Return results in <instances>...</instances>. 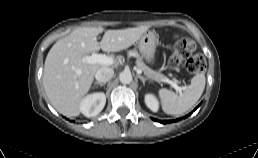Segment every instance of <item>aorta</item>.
<instances>
[{"label":"aorta","mask_w":258,"mask_h":158,"mask_svg":"<svg viewBox=\"0 0 258 158\" xmlns=\"http://www.w3.org/2000/svg\"><path fill=\"white\" fill-rule=\"evenodd\" d=\"M132 79V74L129 71H123L119 74V80L122 84H130Z\"/></svg>","instance_id":"1"}]
</instances>
